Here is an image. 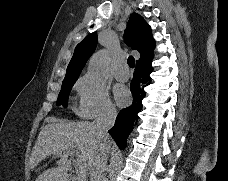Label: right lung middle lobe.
Returning <instances> with one entry per match:
<instances>
[{
	"label": "right lung middle lobe",
	"mask_w": 228,
	"mask_h": 181,
	"mask_svg": "<svg viewBox=\"0 0 228 181\" xmlns=\"http://www.w3.org/2000/svg\"><path fill=\"white\" fill-rule=\"evenodd\" d=\"M75 82H76V80L64 81L62 83V88H61V91H60L59 96H58L57 105L62 104L63 107H67V100L69 97V93H70L71 88Z\"/></svg>",
	"instance_id": "dd1d6c3e"
}]
</instances>
